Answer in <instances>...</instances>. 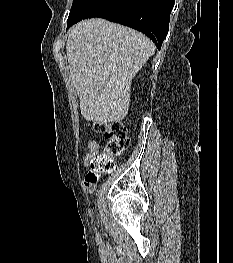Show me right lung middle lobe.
Returning <instances> with one entry per match:
<instances>
[{
  "label": "right lung middle lobe",
  "mask_w": 233,
  "mask_h": 263,
  "mask_svg": "<svg viewBox=\"0 0 233 263\" xmlns=\"http://www.w3.org/2000/svg\"><path fill=\"white\" fill-rule=\"evenodd\" d=\"M123 0H73L67 27L91 17L110 15Z\"/></svg>",
  "instance_id": "dd1d6c3e"
}]
</instances>
